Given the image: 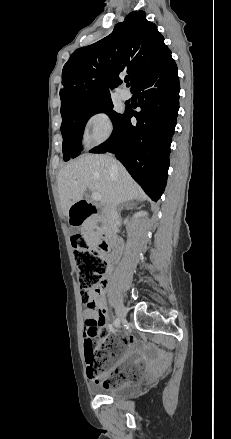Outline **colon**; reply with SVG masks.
I'll use <instances>...</instances> for the list:
<instances>
[{"instance_id":"1","label":"colon","mask_w":231,"mask_h":439,"mask_svg":"<svg viewBox=\"0 0 231 439\" xmlns=\"http://www.w3.org/2000/svg\"><path fill=\"white\" fill-rule=\"evenodd\" d=\"M71 244L74 253L75 267L77 270L83 301L90 306H95L91 300L93 293L101 291L106 285L108 264L101 254L88 245L82 235H73ZM98 337V335H97ZM126 341L123 337L102 336L100 343L85 344V358L90 377L102 382L103 386L115 387L125 381V369L119 368L107 374L113 362L120 356L125 348Z\"/></svg>"}]
</instances>
